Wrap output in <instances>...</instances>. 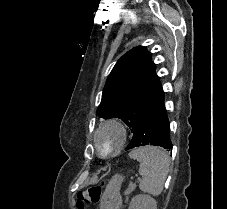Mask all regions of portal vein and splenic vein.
I'll return each instance as SVG.
<instances>
[{
    "label": "portal vein and splenic vein",
    "mask_w": 227,
    "mask_h": 209,
    "mask_svg": "<svg viewBox=\"0 0 227 209\" xmlns=\"http://www.w3.org/2000/svg\"><path fill=\"white\" fill-rule=\"evenodd\" d=\"M128 185H129V188L125 193L127 195H130L132 193V191L136 189V186L134 185V183L132 181H129Z\"/></svg>",
    "instance_id": "18ae733b"
}]
</instances>
